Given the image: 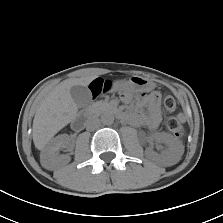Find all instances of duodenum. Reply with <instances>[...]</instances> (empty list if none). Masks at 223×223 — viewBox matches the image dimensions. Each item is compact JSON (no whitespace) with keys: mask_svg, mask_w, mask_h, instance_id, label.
<instances>
[{"mask_svg":"<svg viewBox=\"0 0 223 223\" xmlns=\"http://www.w3.org/2000/svg\"><path fill=\"white\" fill-rule=\"evenodd\" d=\"M116 115L120 118H125L124 114L121 111H117ZM72 126L74 129L81 128L83 126V120L81 117H77L74 119Z\"/></svg>","mask_w":223,"mask_h":223,"instance_id":"obj_1","label":"duodenum"}]
</instances>
